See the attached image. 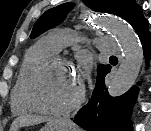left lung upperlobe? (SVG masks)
I'll return each mask as SVG.
<instances>
[{
  "mask_svg": "<svg viewBox=\"0 0 151 131\" xmlns=\"http://www.w3.org/2000/svg\"><path fill=\"white\" fill-rule=\"evenodd\" d=\"M84 2L94 11L118 15L130 24L141 9L135 0H84ZM73 6L71 3H64L47 10L34 24L30 37L35 38L46 30L60 24ZM106 66L108 65L98 66V75Z\"/></svg>",
  "mask_w": 151,
  "mask_h": 131,
  "instance_id": "1",
  "label": "left lung upper lobe"
}]
</instances>
